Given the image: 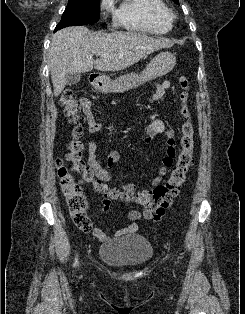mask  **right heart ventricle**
Masks as SVG:
<instances>
[{"label": "right heart ventricle", "instance_id": "obj_1", "mask_svg": "<svg viewBox=\"0 0 245 314\" xmlns=\"http://www.w3.org/2000/svg\"><path fill=\"white\" fill-rule=\"evenodd\" d=\"M163 0H122L115 12V22L129 31L165 34L171 27Z\"/></svg>", "mask_w": 245, "mask_h": 314}]
</instances>
